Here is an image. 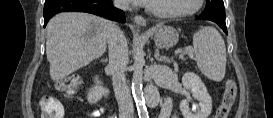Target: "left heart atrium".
I'll return each instance as SVG.
<instances>
[{"label":"left heart atrium","mask_w":273,"mask_h":118,"mask_svg":"<svg viewBox=\"0 0 273 118\" xmlns=\"http://www.w3.org/2000/svg\"><path fill=\"white\" fill-rule=\"evenodd\" d=\"M137 2L139 3H142V4H146V3H150L151 0H136Z\"/></svg>","instance_id":"obj_1"}]
</instances>
